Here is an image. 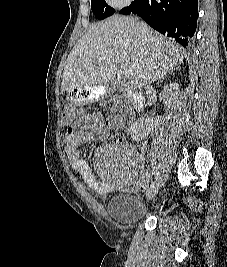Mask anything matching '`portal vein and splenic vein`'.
I'll return each mask as SVG.
<instances>
[{
	"instance_id": "obj_1",
	"label": "portal vein and splenic vein",
	"mask_w": 227,
	"mask_h": 267,
	"mask_svg": "<svg viewBox=\"0 0 227 267\" xmlns=\"http://www.w3.org/2000/svg\"><path fill=\"white\" fill-rule=\"evenodd\" d=\"M120 73L127 79L133 76V70L124 64H120Z\"/></svg>"
}]
</instances>
